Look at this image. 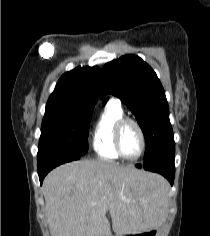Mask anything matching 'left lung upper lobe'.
<instances>
[{
	"instance_id": "left-lung-upper-lobe-1",
	"label": "left lung upper lobe",
	"mask_w": 210,
	"mask_h": 236,
	"mask_svg": "<svg viewBox=\"0 0 210 236\" xmlns=\"http://www.w3.org/2000/svg\"><path fill=\"white\" fill-rule=\"evenodd\" d=\"M107 93L119 97L135 115L146 140L144 159L174 140L163 87L140 57L125 55L104 66L100 96Z\"/></svg>"
}]
</instances>
